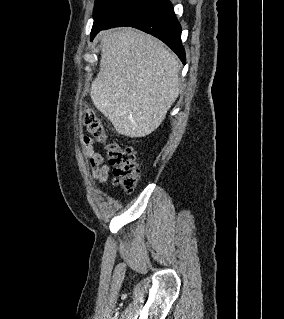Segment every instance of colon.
Returning a JSON list of instances; mask_svg holds the SVG:
<instances>
[{"label":"colon","mask_w":284,"mask_h":319,"mask_svg":"<svg viewBox=\"0 0 284 319\" xmlns=\"http://www.w3.org/2000/svg\"><path fill=\"white\" fill-rule=\"evenodd\" d=\"M83 123L93 137L106 145L108 161L113 167L115 184L121 186L128 193L132 192L139 176L134 148L122 146L120 143L110 140L103 123L93 113L85 112Z\"/></svg>","instance_id":"1"}]
</instances>
